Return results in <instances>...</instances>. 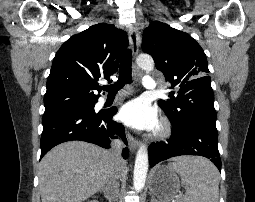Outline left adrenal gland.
<instances>
[{"label":"left adrenal gland","instance_id":"1","mask_svg":"<svg viewBox=\"0 0 255 202\" xmlns=\"http://www.w3.org/2000/svg\"><path fill=\"white\" fill-rule=\"evenodd\" d=\"M150 202H157V200L153 196H151V201Z\"/></svg>","mask_w":255,"mask_h":202}]
</instances>
